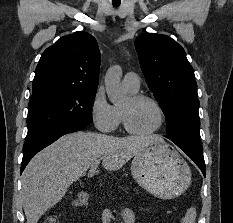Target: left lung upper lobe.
Masks as SVG:
<instances>
[{
	"label": "left lung upper lobe",
	"mask_w": 233,
	"mask_h": 223,
	"mask_svg": "<svg viewBox=\"0 0 233 223\" xmlns=\"http://www.w3.org/2000/svg\"><path fill=\"white\" fill-rule=\"evenodd\" d=\"M141 69L166 117L168 139L201 145L197 84L181 45L172 38L145 33L135 40Z\"/></svg>",
	"instance_id": "5c2ea615"
}]
</instances>
